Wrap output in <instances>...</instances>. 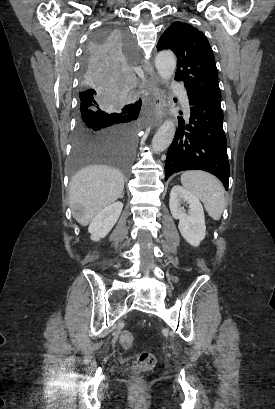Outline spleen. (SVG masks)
<instances>
[{
    "label": "spleen",
    "mask_w": 275,
    "mask_h": 409,
    "mask_svg": "<svg viewBox=\"0 0 275 409\" xmlns=\"http://www.w3.org/2000/svg\"><path fill=\"white\" fill-rule=\"evenodd\" d=\"M181 182L190 192L202 200L209 217L219 221L225 209L224 188L216 176L204 170H187L181 174Z\"/></svg>",
    "instance_id": "1"
}]
</instances>
